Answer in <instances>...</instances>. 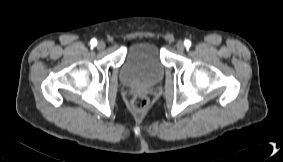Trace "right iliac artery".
<instances>
[{"label":"right iliac artery","mask_w":283,"mask_h":162,"mask_svg":"<svg viewBox=\"0 0 283 162\" xmlns=\"http://www.w3.org/2000/svg\"><path fill=\"white\" fill-rule=\"evenodd\" d=\"M90 43H91L92 46H96L97 45V40L96 39H92Z\"/></svg>","instance_id":"right-iliac-artery-1"}]
</instances>
